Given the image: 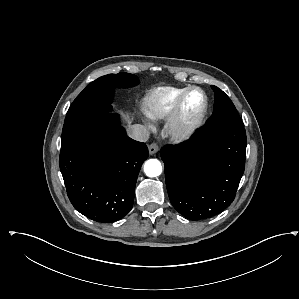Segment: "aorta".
<instances>
[{
	"label": "aorta",
	"mask_w": 299,
	"mask_h": 299,
	"mask_svg": "<svg viewBox=\"0 0 299 299\" xmlns=\"http://www.w3.org/2000/svg\"><path fill=\"white\" fill-rule=\"evenodd\" d=\"M144 172L148 177H157L162 173L161 162L157 159H149L144 164Z\"/></svg>",
	"instance_id": "762f6f07"
}]
</instances>
